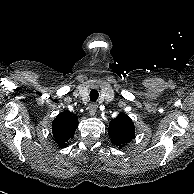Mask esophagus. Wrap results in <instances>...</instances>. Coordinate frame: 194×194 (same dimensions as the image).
I'll use <instances>...</instances> for the list:
<instances>
[{
    "instance_id": "esophagus-1",
    "label": "esophagus",
    "mask_w": 194,
    "mask_h": 194,
    "mask_svg": "<svg viewBox=\"0 0 194 194\" xmlns=\"http://www.w3.org/2000/svg\"><path fill=\"white\" fill-rule=\"evenodd\" d=\"M88 109H89V114L91 116H94L97 111V105L95 103H90L88 106Z\"/></svg>"
}]
</instances>
